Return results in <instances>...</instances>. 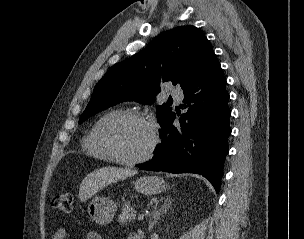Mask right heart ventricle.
<instances>
[{
  "label": "right heart ventricle",
  "instance_id": "right-heart-ventricle-1",
  "mask_svg": "<svg viewBox=\"0 0 304 239\" xmlns=\"http://www.w3.org/2000/svg\"><path fill=\"white\" fill-rule=\"evenodd\" d=\"M122 112L120 109H114L111 111H108L101 115L97 121L93 124L91 129L86 133L82 140V148L84 152L92 157L101 159V160H106V161H111L112 158L110 155L107 153V151L102 147L100 141H99V132L104 123L113 117L114 115Z\"/></svg>",
  "mask_w": 304,
  "mask_h": 239
}]
</instances>
